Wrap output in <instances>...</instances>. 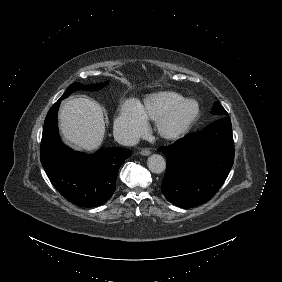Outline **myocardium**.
Wrapping results in <instances>:
<instances>
[{
	"label": "myocardium",
	"mask_w": 282,
	"mask_h": 282,
	"mask_svg": "<svg viewBox=\"0 0 282 282\" xmlns=\"http://www.w3.org/2000/svg\"><path fill=\"white\" fill-rule=\"evenodd\" d=\"M189 103L193 102L190 99H181L158 119V130L163 137L168 139L176 138L197 120V112L193 115H181L184 107Z\"/></svg>",
	"instance_id": "1"
}]
</instances>
